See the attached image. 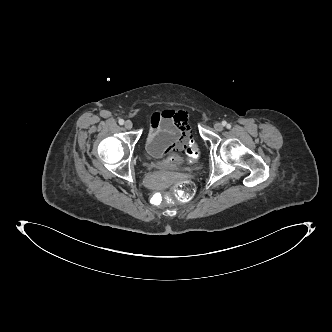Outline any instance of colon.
I'll list each match as a JSON object with an SVG mask.
<instances>
[{
	"label": "colon",
	"mask_w": 332,
	"mask_h": 332,
	"mask_svg": "<svg viewBox=\"0 0 332 332\" xmlns=\"http://www.w3.org/2000/svg\"><path fill=\"white\" fill-rule=\"evenodd\" d=\"M202 143V138L199 135H194L186 143V149L183 151L184 155L191 160H196L200 156L199 145ZM195 194V185L191 180L181 179L173 187V195L177 200L187 201L193 198ZM154 201L157 204L163 202V197L161 195L154 196Z\"/></svg>",
	"instance_id": "obj_1"
}]
</instances>
